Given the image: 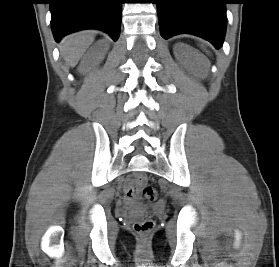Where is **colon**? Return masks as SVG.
I'll list each match as a JSON object with an SVG mask.
<instances>
[{
	"mask_svg": "<svg viewBox=\"0 0 279 267\" xmlns=\"http://www.w3.org/2000/svg\"><path fill=\"white\" fill-rule=\"evenodd\" d=\"M146 181V177L141 175L137 178L138 186L143 185ZM135 192V191H134ZM142 195L148 201H155L157 199V191L151 185L144 184L142 187ZM154 227V221L151 218L143 219L134 224V230L137 234L145 236L149 234Z\"/></svg>",
	"mask_w": 279,
	"mask_h": 267,
	"instance_id": "1",
	"label": "colon"
}]
</instances>
